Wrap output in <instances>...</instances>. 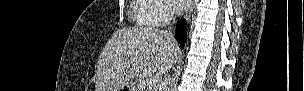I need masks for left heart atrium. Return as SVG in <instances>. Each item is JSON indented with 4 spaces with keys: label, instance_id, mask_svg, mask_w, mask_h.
<instances>
[{
    "label": "left heart atrium",
    "instance_id": "1",
    "mask_svg": "<svg viewBox=\"0 0 304 91\" xmlns=\"http://www.w3.org/2000/svg\"><path fill=\"white\" fill-rule=\"evenodd\" d=\"M171 6L177 12L185 11L190 4V0H170Z\"/></svg>",
    "mask_w": 304,
    "mask_h": 91
}]
</instances>
